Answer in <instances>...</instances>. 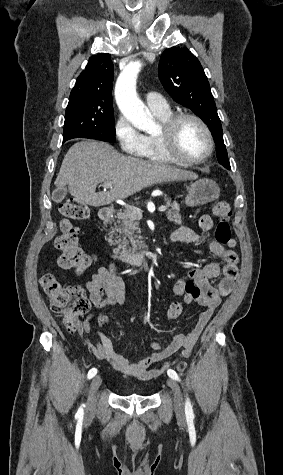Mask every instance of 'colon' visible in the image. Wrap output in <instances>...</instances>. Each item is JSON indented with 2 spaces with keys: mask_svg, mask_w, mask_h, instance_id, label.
<instances>
[{
  "mask_svg": "<svg viewBox=\"0 0 283 475\" xmlns=\"http://www.w3.org/2000/svg\"><path fill=\"white\" fill-rule=\"evenodd\" d=\"M211 209L216 217L213 227L215 239L226 244L231 239V208L225 200H216L211 204ZM61 214L66 218L62 225V234L56 239V247L61 252L58 257L59 266L65 270H72L77 275H82L91 265L92 259L78 245L80 229L71 224V220H86L89 216V207L83 202L67 199L60 207ZM40 284L49 299L52 310L63 318L65 330L76 332L82 325V317L90 309L86 293L81 285L63 284L55 275L44 272L40 276ZM187 289L185 302L192 304L200 294V288L194 286L191 280L184 282ZM173 303L167 311V318L175 322L186 303Z\"/></svg>",
  "mask_w": 283,
  "mask_h": 475,
  "instance_id": "colon-1",
  "label": "colon"
}]
</instances>
